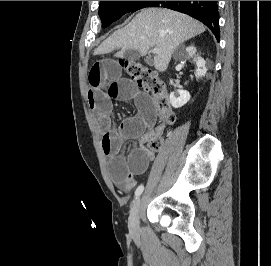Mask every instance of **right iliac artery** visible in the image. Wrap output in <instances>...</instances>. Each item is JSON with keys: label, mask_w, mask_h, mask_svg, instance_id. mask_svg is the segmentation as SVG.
<instances>
[{"label": "right iliac artery", "mask_w": 271, "mask_h": 266, "mask_svg": "<svg viewBox=\"0 0 271 266\" xmlns=\"http://www.w3.org/2000/svg\"><path fill=\"white\" fill-rule=\"evenodd\" d=\"M144 190V186L143 185H140L137 187L136 191H135V197H138L141 195V193L143 192Z\"/></svg>", "instance_id": "right-iliac-artery-1"}]
</instances>
